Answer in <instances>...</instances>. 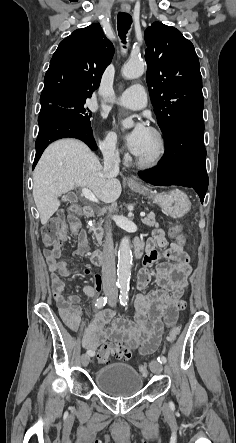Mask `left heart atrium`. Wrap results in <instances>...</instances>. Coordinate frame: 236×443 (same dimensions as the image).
<instances>
[{"mask_svg":"<svg viewBox=\"0 0 236 443\" xmlns=\"http://www.w3.org/2000/svg\"><path fill=\"white\" fill-rule=\"evenodd\" d=\"M148 131L144 122L137 120L133 127L125 133L126 143L132 153L136 155L139 153Z\"/></svg>","mask_w":236,"mask_h":443,"instance_id":"left-heart-atrium-1","label":"left heart atrium"}]
</instances>
